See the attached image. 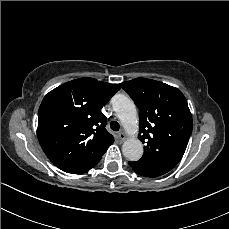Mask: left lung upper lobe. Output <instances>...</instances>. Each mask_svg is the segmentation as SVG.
Instances as JSON below:
<instances>
[{
	"label": "left lung upper lobe",
	"mask_w": 229,
	"mask_h": 229,
	"mask_svg": "<svg viewBox=\"0 0 229 229\" xmlns=\"http://www.w3.org/2000/svg\"><path fill=\"white\" fill-rule=\"evenodd\" d=\"M120 86L140 110L139 139L146 143L135 164L152 177L172 170L181 160L192 132V115L182 92L168 84L136 78Z\"/></svg>",
	"instance_id": "obj_1"
}]
</instances>
